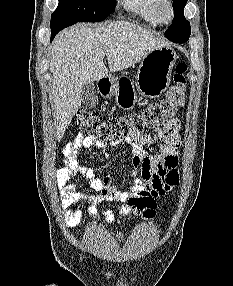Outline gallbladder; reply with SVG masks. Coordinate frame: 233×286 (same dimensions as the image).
Segmentation results:
<instances>
[{
	"label": "gallbladder",
	"instance_id": "1",
	"mask_svg": "<svg viewBox=\"0 0 233 286\" xmlns=\"http://www.w3.org/2000/svg\"><path fill=\"white\" fill-rule=\"evenodd\" d=\"M82 103L86 107H95L98 105V96L94 82H87L83 85L81 90Z\"/></svg>",
	"mask_w": 233,
	"mask_h": 286
}]
</instances>
